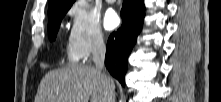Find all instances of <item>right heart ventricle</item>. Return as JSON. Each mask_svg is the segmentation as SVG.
I'll return each instance as SVG.
<instances>
[{"label": "right heart ventricle", "instance_id": "1", "mask_svg": "<svg viewBox=\"0 0 221 102\" xmlns=\"http://www.w3.org/2000/svg\"><path fill=\"white\" fill-rule=\"evenodd\" d=\"M67 56H68L69 60L72 62H75L78 59V57L72 51V48L67 49Z\"/></svg>", "mask_w": 221, "mask_h": 102}]
</instances>
